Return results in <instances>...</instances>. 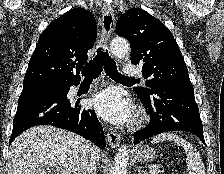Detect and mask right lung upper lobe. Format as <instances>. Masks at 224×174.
Masks as SVG:
<instances>
[{
    "label": "right lung upper lobe",
    "instance_id": "cb5924a9",
    "mask_svg": "<svg viewBox=\"0 0 224 174\" xmlns=\"http://www.w3.org/2000/svg\"><path fill=\"white\" fill-rule=\"evenodd\" d=\"M94 16L82 8L71 9L51 22L38 40L29 61L23 90L80 81L77 74L86 63L96 40Z\"/></svg>",
    "mask_w": 224,
    "mask_h": 174
}]
</instances>
